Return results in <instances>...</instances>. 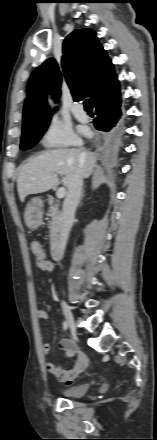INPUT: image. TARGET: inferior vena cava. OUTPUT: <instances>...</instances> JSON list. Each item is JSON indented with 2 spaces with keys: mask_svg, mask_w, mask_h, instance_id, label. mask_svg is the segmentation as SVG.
Instances as JSON below:
<instances>
[{
  "mask_svg": "<svg viewBox=\"0 0 157 440\" xmlns=\"http://www.w3.org/2000/svg\"><path fill=\"white\" fill-rule=\"evenodd\" d=\"M76 146H82V142H77ZM84 157V153L81 154V158ZM83 178L78 171L74 176L71 184L68 187V192L63 203L62 215H61V228L59 233L58 252L63 254L70 229L73 224L75 211L79 203L81 191H82Z\"/></svg>",
  "mask_w": 157,
  "mask_h": 440,
  "instance_id": "obj_1",
  "label": "inferior vena cava"
}]
</instances>
